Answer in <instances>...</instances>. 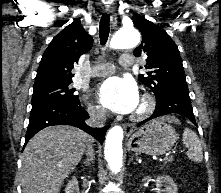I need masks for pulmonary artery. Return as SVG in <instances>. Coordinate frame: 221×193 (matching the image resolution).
Returning <instances> with one entry per match:
<instances>
[{"mask_svg": "<svg viewBox=\"0 0 221 193\" xmlns=\"http://www.w3.org/2000/svg\"><path fill=\"white\" fill-rule=\"evenodd\" d=\"M119 64L122 67H131L134 62L128 55H123L119 59ZM115 72V66L113 64L107 63L98 66L95 70L90 73L92 77H105L113 74Z\"/></svg>", "mask_w": 221, "mask_h": 193, "instance_id": "obj_1", "label": "pulmonary artery"}]
</instances>
